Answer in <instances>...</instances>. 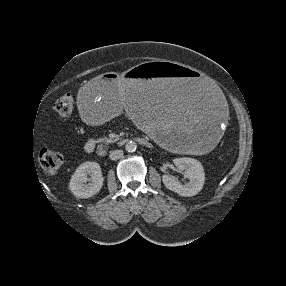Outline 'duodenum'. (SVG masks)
<instances>
[{
	"instance_id": "obj_1",
	"label": "duodenum",
	"mask_w": 286,
	"mask_h": 286,
	"mask_svg": "<svg viewBox=\"0 0 286 286\" xmlns=\"http://www.w3.org/2000/svg\"><path fill=\"white\" fill-rule=\"evenodd\" d=\"M138 141L141 142L143 145H148V141H146L145 139H142V138H138ZM107 151V147L105 145H100L98 148H97V154L99 156H103L105 155Z\"/></svg>"
}]
</instances>
